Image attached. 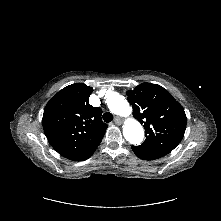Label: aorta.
<instances>
[{
	"label": "aorta",
	"mask_w": 221,
	"mask_h": 221,
	"mask_svg": "<svg viewBox=\"0 0 221 221\" xmlns=\"http://www.w3.org/2000/svg\"><path fill=\"white\" fill-rule=\"evenodd\" d=\"M106 103L110 111L122 117L131 115V107L124 96L118 92L110 91L106 95ZM123 135L125 139L134 145H139L144 138V130L142 125L134 118H129L123 126Z\"/></svg>",
	"instance_id": "762f6f07"
}]
</instances>
